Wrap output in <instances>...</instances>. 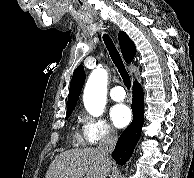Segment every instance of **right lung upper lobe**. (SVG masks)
Listing matches in <instances>:
<instances>
[{
	"label": "right lung upper lobe",
	"mask_w": 194,
	"mask_h": 178,
	"mask_svg": "<svg viewBox=\"0 0 194 178\" xmlns=\"http://www.w3.org/2000/svg\"><path fill=\"white\" fill-rule=\"evenodd\" d=\"M119 43L125 61L130 63L136 54V47L134 43L123 31L119 32ZM85 77L84 67L82 65L78 66L73 73L70 83L67 112H70L75 108Z\"/></svg>",
	"instance_id": "cb5924a9"
}]
</instances>
